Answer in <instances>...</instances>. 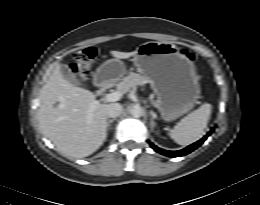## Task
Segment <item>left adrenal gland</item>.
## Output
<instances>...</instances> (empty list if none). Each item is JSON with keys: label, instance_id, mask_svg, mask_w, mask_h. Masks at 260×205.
Returning a JSON list of instances; mask_svg holds the SVG:
<instances>
[{"label": "left adrenal gland", "instance_id": "1", "mask_svg": "<svg viewBox=\"0 0 260 205\" xmlns=\"http://www.w3.org/2000/svg\"><path fill=\"white\" fill-rule=\"evenodd\" d=\"M150 120H151V121H150V125H151V128H152V130H153V128L156 126V123L154 122V118H153V117H151Z\"/></svg>", "mask_w": 260, "mask_h": 205}]
</instances>
